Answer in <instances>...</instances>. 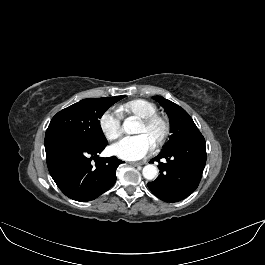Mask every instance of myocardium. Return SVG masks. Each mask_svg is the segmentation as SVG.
I'll list each match as a JSON object with an SVG mask.
<instances>
[{"label": "myocardium", "mask_w": 265, "mask_h": 265, "mask_svg": "<svg viewBox=\"0 0 265 265\" xmlns=\"http://www.w3.org/2000/svg\"><path fill=\"white\" fill-rule=\"evenodd\" d=\"M140 122L148 127L153 126L155 124H159L161 126L160 134L153 143V146L155 148L161 147L166 142L171 129L170 122L166 117L160 114H153L144 118H140Z\"/></svg>", "instance_id": "obj_1"}]
</instances>
